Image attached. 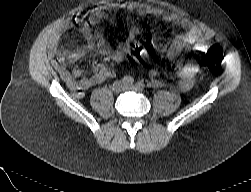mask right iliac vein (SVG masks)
I'll list each match as a JSON object with an SVG mask.
<instances>
[{"mask_svg": "<svg viewBox=\"0 0 251 192\" xmlns=\"http://www.w3.org/2000/svg\"><path fill=\"white\" fill-rule=\"evenodd\" d=\"M124 87H125V84L123 81H117L113 84V87H112V90L115 92V93H119L121 92L122 90H124Z\"/></svg>", "mask_w": 251, "mask_h": 192, "instance_id": "1", "label": "right iliac vein"}]
</instances>
